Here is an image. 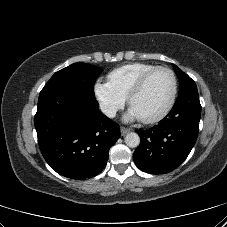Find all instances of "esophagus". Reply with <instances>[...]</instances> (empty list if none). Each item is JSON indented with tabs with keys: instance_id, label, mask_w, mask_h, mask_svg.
Here are the masks:
<instances>
[{
	"instance_id": "obj_1",
	"label": "esophagus",
	"mask_w": 227,
	"mask_h": 227,
	"mask_svg": "<svg viewBox=\"0 0 227 227\" xmlns=\"http://www.w3.org/2000/svg\"><path fill=\"white\" fill-rule=\"evenodd\" d=\"M120 131H121V135L124 136L128 132H130V129L129 128H125V127H121Z\"/></svg>"
}]
</instances>
